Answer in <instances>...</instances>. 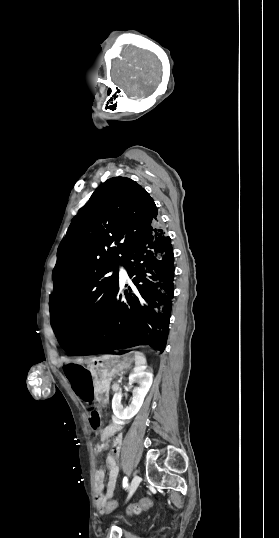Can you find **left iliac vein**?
Masks as SVG:
<instances>
[{
    "instance_id": "obj_1",
    "label": "left iliac vein",
    "mask_w": 279,
    "mask_h": 538,
    "mask_svg": "<svg viewBox=\"0 0 279 538\" xmlns=\"http://www.w3.org/2000/svg\"><path fill=\"white\" fill-rule=\"evenodd\" d=\"M140 483V477L138 475H134L132 481H131V484H130V487H129V495H128V499L132 496V494L136 491L138 485Z\"/></svg>"
}]
</instances>
